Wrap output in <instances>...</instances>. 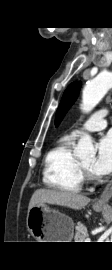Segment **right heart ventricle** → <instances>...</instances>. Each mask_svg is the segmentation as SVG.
I'll return each instance as SVG.
<instances>
[{
    "label": "right heart ventricle",
    "mask_w": 112,
    "mask_h": 270,
    "mask_svg": "<svg viewBox=\"0 0 112 270\" xmlns=\"http://www.w3.org/2000/svg\"><path fill=\"white\" fill-rule=\"evenodd\" d=\"M74 137L64 136L45 156L43 182L57 191L78 193L83 179L79 170V161L73 153Z\"/></svg>",
    "instance_id": "obj_1"
}]
</instances>
